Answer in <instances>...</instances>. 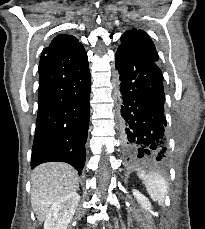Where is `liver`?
<instances>
[{"label":"liver","mask_w":205,"mask_h":229,"mask_svg":"<svg viewBox=\"0 0 205 229\" xmlns=\"http://www.w3.org/2000/svg\"><path fill=\"white\" fill-rule=\"evenodd\" d=\"M31 183V206L40 222L54 202L75 193L79 188L76 170L62 162H49L36 167Z\"/></svg>","instance_id":"1"}]
</instances>
